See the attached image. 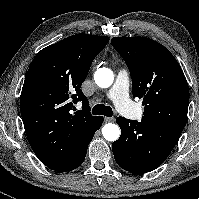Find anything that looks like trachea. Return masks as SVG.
<instances>
[{"instance_id":"obj_1","label":"trachea","mask_w":199,"mask_h":199,"mask_svg":"<svg viewBox=\"0 0 199 199\" xmlns=\"http://www.w3.org/2000/svg\"><path fill=\"white\" fill-rule=\"evenodd\" d=\"M92 114L94 115H104L106 117H112L113 111L110 106L104 104H97L92 109Z\"/></svg>"}]
</instances>
